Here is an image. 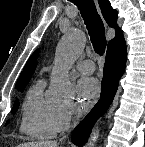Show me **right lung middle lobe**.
I'll return each instance as SVG.
<instances>
[{"instance_id": "dd1d6c3e", "label": "right lung middle lobe", "mask_w": 145, "mask_h": 147, "mask_svg": "<svg viewBox=\"0 0 145 147\" xmlns=\"http://www.w3.org/2000/svg\"><path fill=\"white\" fill-rule=\"evenodd\" d=\"M23 89H24V88H21V89H18V90L22 92ZM18 107H19V103H18V101H16V102L14 103V106H13V109H12V113H13V114L17 111Z\"/></svg>"}]
</instances>
